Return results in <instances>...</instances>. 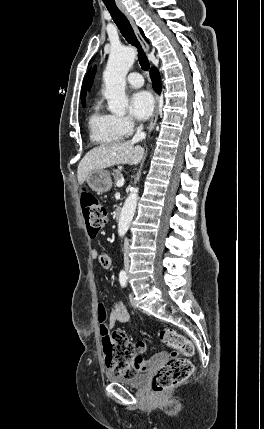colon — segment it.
<instances>
[{"label": "colon", "mask_w": 264, "mask_h": 429, "mask_svg": "<svg viewBox=\"0 0 264 429\" xmlns=\"http://www.w3.org/2000/svg\"><path fill=\"white\" fill-rule=\"evenodd\" d=\"M80 200L88 232L90 236L94 237L107 222V209L95 195L87 190L81 192ZM97 315L100 327L106 331L107 316L104 306L98 305ZM160 338L167 346L180 351L186 357H191L195 353L192 342L175 330H162ZM103 353L105 364L111 372L123 376H132L137 373L132 365L135 349L124 333L108 334L103 342ZM193 369V364L189 359L172 353L155 373L152 390L155 393H162L181 384L192 375Z\"/></svg>", "instance_id": "colon-1"}]
</instances>
